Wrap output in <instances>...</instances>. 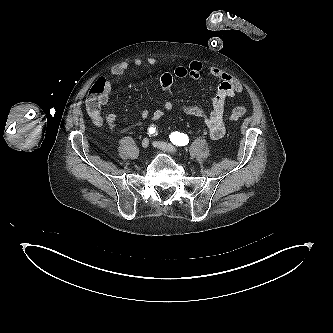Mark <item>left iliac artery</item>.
<instances>
[{"mask_svg": "<svg viewBox=\"0 0 333 333\" xmlns=\"http://www.w3.org/2000/svg\"><path fill=\"white\" fill-rule=\"evenodd\" d=\"M171 142L176 146H185L189 143V138L186 134L178 131L172 132L169 135Z\"/></svg>", "mask_w": 333, "mask_h": 333, "instance_id": "44dca946", "label": "left iliac artery"}]
</instances>
